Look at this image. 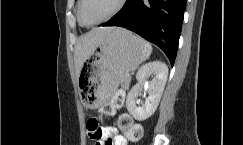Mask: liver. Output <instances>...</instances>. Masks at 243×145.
Listing matches in <instances>:
<instances>
[{
	"mask_svg": "<svg viewBox=\"0 0 243 145\" xmlns=\"http://www.w3.org/2000/svg\"><path fill=\"white\" fill-rule=\"evenodd\" d=\"M115 28L116 27L94 28L78 39L74 51V60L77 76L80 74L83 63L94 53V51L103 41L105 36Z\"/></svg>",
	"mask_w": 243,
	"mask_h": 145,
	"instance_id": "6515ba94",
	"label": "liver"
}]
</instances>
